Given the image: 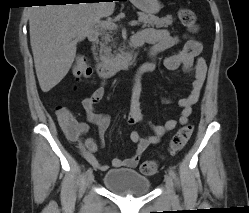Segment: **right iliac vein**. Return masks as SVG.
<instances>
[{
	"label": "right iliac vein",
	"mask_w": 249,
	"mask_h": 213,
	"mask_svg": "<svg viewBox=\"0 0 249 213\" xmlns=\"http://www.w3.org/2000/svg\"><path fill=\"white\" fill-rule=\"evenodd\" d=\"M87 181H88V184H91L94 181V174L93 173L88 175Z\"/></svg>",
	"instance_id": "right-iliac-vein-1"
}]
</instances>
